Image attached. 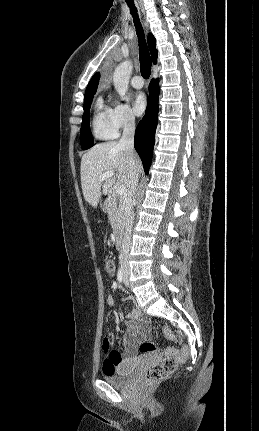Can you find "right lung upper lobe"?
<instances>
[{
    "mask_svg": "<svg viewBox=\"0 0 259 431\" xmlns=\"http://www.w3.org/2000/svg\"><path fill=\"white\" fill-rule=\"evenodd\" d=\"M147 41H148V46L150 49V53H151V57H152V61L154 64L157 63V50H156V40L154 38V36L152 34H149L147 37ZM99 79H100V73L97 72L90 80V82L88 83V86L86 88V92L85 94L91 93V92H96L97 90V86L99 83Z\"/></svg>",
    "mask_w": 259,
    "mask_h": 431,
    "instance_id": "right-lung-upper-lobe-1",
    "label": "right lung upper lobe"
}]
</instances>
